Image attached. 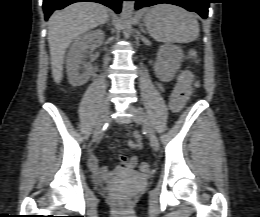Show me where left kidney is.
Returning a JSON list of instances; mask_svg holds the SVG:
<instances>
[{
  "instance_id": "left-kidney-1",
  "label": "left kidney",
  "mask_w": 260,
  "mask_h": 217,
  "mask_svg": "<svg viewBox=\"0 0 260 217\" xmlns=\"http://www.w3.org/2000/svg\"><path fill=\"white\" fill-rule=\"evenodd\" d=\"M183 51L177 45H161L155 63V74L163 82L172 80L180 69L183 61Z\"/></svg>"
}]
</instances>
